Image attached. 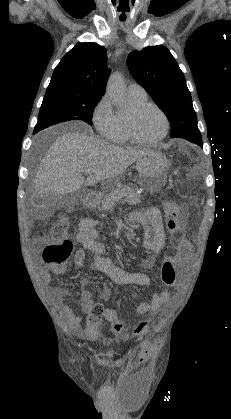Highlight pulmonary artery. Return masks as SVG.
I'll return each mask as SVG.
<instances>
[{"instance_id":"1","label":"pulmonary artery","mask_w":231,"mask_h":419,"mask_svg":"<svg viewBox=\"0 0 231 419\" xmlns=\"http://www.w3.org/2000/svg\"><path fill=\"white\" fill-rule=\"evenodd\" d=\"M128 93L140 97H147L145 89L138 83H131L128 86Z\"/></svg>"}]
</instances>
